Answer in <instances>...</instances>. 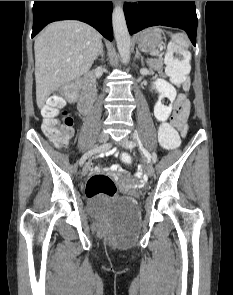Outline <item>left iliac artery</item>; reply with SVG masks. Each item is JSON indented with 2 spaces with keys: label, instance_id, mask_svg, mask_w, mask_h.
I'll return each instance as SVG.
<instances>
[{
  "label": "left iliac artery",
  "instance_id": "obj_1",
  "mask_svg": "<svg viewBox=\"0 0 233 295\" xmlns=\"http://www.w3.org/2000/svg\"><path fill=\"white\" fill-rule=\"evenodd\" d=\"M128 144L129 145H136V140H129L128 141ZM151 156H152V163L153 164H156L157 163V155H156V153L155 152H152L151 153Z\"/></svg>",
  "mask_w": 233,
  "mask_h": 295
}]
</instances>
